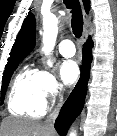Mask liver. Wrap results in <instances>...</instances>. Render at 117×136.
Returning <instances> with one entry per match:
<instances>
[{
    "label": "liver",
    "mask_w": 117,
    "mask_h": 136,
    "mask_svg": "<svg viewBox=\"0 0 117 136\" xmlns=\"http://www.w3.org/2000/svg\"><path fill=\"white\" fill-rule=\"evenodd\" d=\"M1 128L3 136H55L54 130L46 124L14 117L4 119Z\"/></svg>",
    "instance_id": "obj_1"
}]
</instances>
